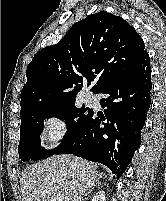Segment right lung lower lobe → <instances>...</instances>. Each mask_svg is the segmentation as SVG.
Masks as SVG:
<instances>
[{"mask_svg":"<svg viewBox=\"0 0 166 201\" xmlns=\"http://www.w3.org/2000/svg\"><path fill=\"white\" fill-rule=\"evenodd\" d=\"M148 53L131 68L107 81L96 93L104 115L92 112L77 133L55 154H73L106 165L120 178L141 142L152 82ZM95 93V94H96Z\"/></svg>","mask_w":166,"mask_h":201,"instance_id":"1","label":"right lung lower lobe"}]
</instances>
